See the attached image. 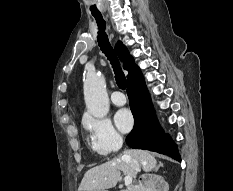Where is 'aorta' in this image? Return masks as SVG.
<instances>
[{"label":"aorta","mask_w":233,"mask_h":191,"mask_svg":"<svg viewBox=\"0 0 233 191\" xmlns=\"http://www.w3.org/2000/svg\"><path fill=\"white\" fill-rule=\"evenodd\" d=\"M85 104L91 115L104 118L109 112V99L105 79L101 75H88L84 81Z\"/></svg>","instance_id":"762f6f07"}]
</instances>
